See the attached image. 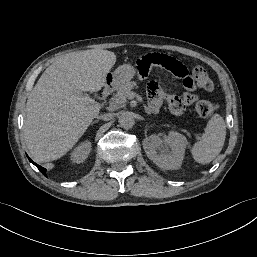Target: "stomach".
Here are the masks:
<instances>
[{
    "label": "stomach",
    "instance_id": "1",
    "mask_svg": "<svg viewBox=\"0 0 257 257\" xmlns=\"http://www.w3.org/2000/svg\"><path fill=\"white\" fill-rule=\"evenodd\" d=\"M135 71L133 66L124 64L119 66L113 73H111V80L117 86H121L129 82L134 76Z\"/></svg>",
    "mask_w": 257,
    "mask_h": 257
}]
</instances>
